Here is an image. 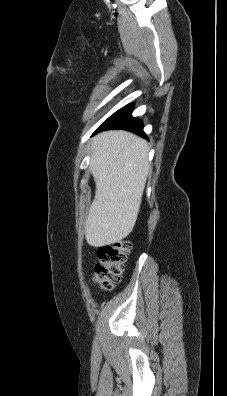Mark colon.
Here are the masks:
<instances>
[{"mask_svg":"<svg viewBox=\"0 0 227 396\" xmlns=\"http://www.w3.org/2000/svg\"><path fill=\"white\" fill-rule=\"evenodd\" d=\"M131 250L129 241H118L100 247L95 265L94 280L105 290L112 289L120 282L122 267Z\"/></svg>","mask_w":227,"mask_h":396,"instance_id":"1","label":"colon"}]
</instances>
